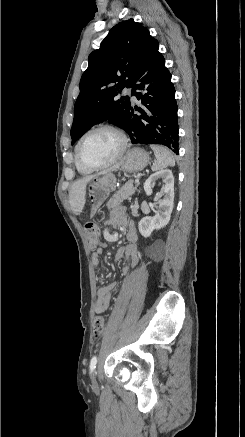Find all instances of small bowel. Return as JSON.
<instances>
[{"mask_svg": "<svg viewBox=\"0 0 245 437\" xmlns=\"http://www.w3.org/2000/svg\"><path fill=\"white\" fill-rule=\"evenodd\" d=\"M111 221L124 226L126 230V238L128 244L125 247H121L117 250L116 259L126 258L129 264H126L122 268V273L127 275L138 263V254L135 242L137 240V233L135 226L132 222H125L124 213L121 210H117L112 214ZM81 222H86V217H81ZM103 254V245H101L92 255V262L94 265H98L100 257ZM116 288L115 283H109L101 286L97 291V300L95 303V312L103 313L108 310L110 306L111 294Z\"/></svg>", "mask_w": 245, "mask_h": 437, "instance_id": "obj_1", "label": "small bowel"}]
</instances>
